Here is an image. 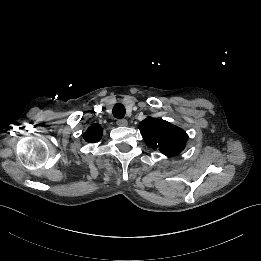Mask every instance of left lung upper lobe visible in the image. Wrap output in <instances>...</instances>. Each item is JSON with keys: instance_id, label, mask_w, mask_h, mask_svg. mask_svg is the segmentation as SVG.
<instances>
[{"instance_id": "left-lung-upper-lobe-1", "label": "left lung upper lobe", "mask_w": 261, "mask_h": 261, "mask_svg": "<svg viewBox=\"0 0 261 261\" xmlns=\"http://www.w3.org/2000/svg\"><path fill=\"white\" fill-rule=\"evenodd\" d=\"M139 130L148 147L158 149L167 156H175L182 152L188 138L183 129L152 117L140 122Z\"/></svg>"}]
</instances>
